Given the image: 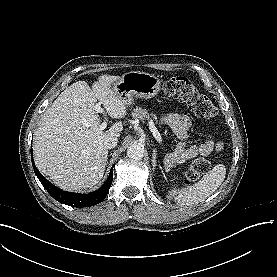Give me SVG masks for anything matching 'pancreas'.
I'll return each mask as SVG.
<instances>
[{
    "instance_id": "cf45deb5",
    "label": "pancreas",
    "mask_w": 277,
    "mask_h": 277,
    "mask_svg": "<svg viewBox=\"0 0 277 277\" xmlns=\"http://www.w3.org/2000/svg\"><path fill=\"white\" fill-rule=\"evenodd\" d=\"M132 117L134 119H140V120L157 119L155 114H149L148 111L142 107L134 108L132 111Z\"/></svg>"
}]
</instances>
